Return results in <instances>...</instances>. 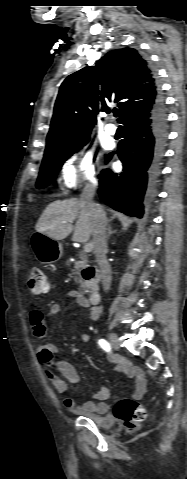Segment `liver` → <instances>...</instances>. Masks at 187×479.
Returning <instances> with one entry per match:
<instances>
[{"instance_id": "liver-1", "label": "liver", "mask_w": 187, "mask_h": 479, "mask_svg": "<svg viewBox=\"0 0 187 479\" xmlns=\"http://www.w3.org/2000/svg\"><path fill=\"white\" fill-rule=\"evenodd\" d=\"M77 219L75 227L72 222ZM74 230L72 240L86 243L92 234L91 219L80 199L50 203L40 216L36 231L54 240H63Z\"/></svg>"}]
</instances>
